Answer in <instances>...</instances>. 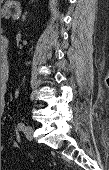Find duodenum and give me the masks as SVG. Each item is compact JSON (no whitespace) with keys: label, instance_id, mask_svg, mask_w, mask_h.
Returning <instances> with one entry per match:
<instances>
[{"label":"duodenum","instance_id":"410a0bca","mask_svg":"<svg viewBox=\"0 0 109 170\" xmlns=\"http://www.w3.org/2000/svg\"><path fill=\"white\" fill-rule=\"evenodd\" d=\"M7 47H8V40L6 38L1 39V52L3 54V60L7 61Z\"/></svg>","mask_w":109,"mask_h":170}]
</instances>
